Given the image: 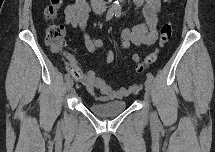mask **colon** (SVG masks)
<instances>
[{
	"instance_id": "5ec220e1",
	"label": "colon",
	"mask_w": 215,
	"mask_h": 152,
	"mask_svg": "<svg viewBox=\"0 0 215 152\" xmlns=\"http://www.w3.org/2000/svg\"><path fill=\"white\" fill-rule=\"evenodd\" d=\"M63 0H51L45 9V16L49 21L45 29L46 44L54 50H61L65 44V29L62 25L54 22L59 8L62 6ZM173 33V26L170 22H166L160 29V37L158 41V48L147 55L141 62H136L134 69L136 73H143L151 64H153L158 57L159 49L167 44ZM67 70L74 77H78L81 73L80 69L74 64L69 63Z\"/></svg>"
}]
</instances>
